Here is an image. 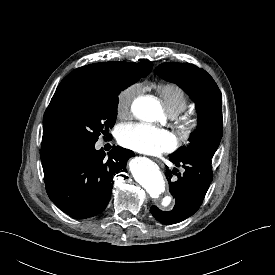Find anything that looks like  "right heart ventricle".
<instances>
[{"label":"right heart ventricle","mask_w":275,"mask_h":275,"mask_svg":"<svg viewBox=\"0 0 275 275\" xmlns=\"http://www.w3.org/2000/svg\"><path fill=\"white\" fill-rule=\"evenodd\" d=\"M156 91L169 115L176 116L188 107V96L179 85L175 83L161 84L156 88Z\"/></svg>","instance_id":"e07e8e85"}]
</instances>
